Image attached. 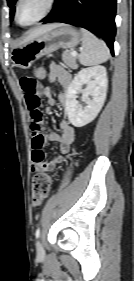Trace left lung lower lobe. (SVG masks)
<instances>
[{
	"instance_id": "0a47b994",
	"label": "left lung lower lobe",
	"mask_w": 134,
	"mask_h": 281,
	"mask_svg": "<svg viewBox=\"0 0 134 281\" xmlns=\"http://www.w3.org/2000/svg\"><path fill=\"white\" fill-rule=\"evenodd\" d=\"M117 0H59L43 23L64 22L98 34L114 54L115 13Z\"/></svg>"
}]
</instances>
